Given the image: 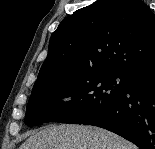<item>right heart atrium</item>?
Returning <instances> with one entry per match:
<instances>
[{"instance_id": "d8ad5b80", "label": "right heart atrium", "mask_w": 155, "mask_h": 149, "mask_svg": "<svg viewBox=\"0 0 155 149\" xmlns=\"http://www.w3.org/2000/svg\"><path fill=\"white\" fill-rule=\"evenodd\" d=\"M72 98H73V92L70 90L65 91L62 95V101L66 103L70 102Z\"/></svg>"}]
</instances>
